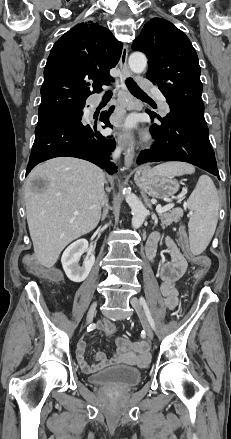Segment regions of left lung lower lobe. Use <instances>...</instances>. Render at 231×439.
Instances as JSON below:
<instances>
[{
  "label": "left lung lower lobe",
  "instance_id": "left-lung-lower-lobe-1",
  "mask_svg": "<svg viewBox=\"0 0 231 439\" xmlns=\"http://www.w3.org/2000/svg\"><path fill=\"white\" fill-rule=\"evenodd\" d=\"M147 113L151 119L157 116L149 110ZM157 118L161 124H153L150 129L155 143L151 149L140 152L138 165L147 162L182 161L198 166L220 179L206 124L171 108L166 117Z\"/></svg>",
  "mask_w": 231,
  "mask_h": 439
}]
</instances>
